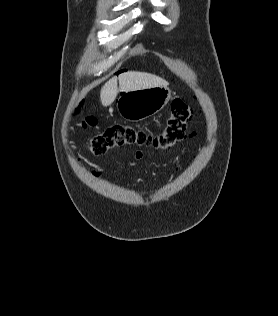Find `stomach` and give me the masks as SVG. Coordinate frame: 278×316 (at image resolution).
<instances>
[{
	"instance_id": "1",
	"label": "stomach",
	"mask_w": 278,
	"mask_h": 316,
	"mask_svg": "<svg viewBox=\"0 0 278 316\" xmlns=\"http://www.w3.org/2000/svg\"><path fill=\"white\" fill-rule=\"evenodd\" d=\"M171 98L167 86L122 93L117 102L119 114L129 121H140L161 111Z\"/></svg>"
}]
</instances>
